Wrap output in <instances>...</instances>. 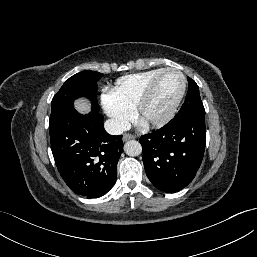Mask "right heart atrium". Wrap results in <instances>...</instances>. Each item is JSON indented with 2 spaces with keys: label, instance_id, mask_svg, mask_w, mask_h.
I'll return each mask as SVG.
<instances>
[{
  "label": "right heart atrium",
  "instance_id": "d8ad5b80",
  "mask_svg": "<svg viewBox=\"0 0 257 257\" xmlns=\"http://www.w3.org/2000/svg\"><path fill=\"white\" fill-rule=\"evenodd\" d=\"M103 109L110 117L114 128L123 131L133 118L132 109L121 106L109 96V93L102 97Z\"/></svg>",
  "mask_w": 257,
  "mask_h": 257
}]
</instances>
